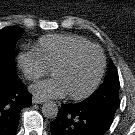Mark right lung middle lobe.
<instances>
[{"label":"right lung middle lobe","instance_id":"obj_1","mask_svg":"<svg viewBox=\"0 0 135 135\" xmlns=\"http://www.w3.org/2000/svg\"><path fill=\"white\" fill-rule=\"evenodd\" d=\"M23 32L21 28L12 26L0 30V78L17 75L14 49Z\"/></svg>","mask_w":135,"mask_h":135}]
</instances>
